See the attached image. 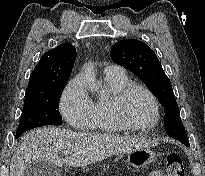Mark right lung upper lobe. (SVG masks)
I'll return each instance as SVG.
<instances>
[{
    "label": "right lung upper lobe",
    "mask_w": 205,
    "mask_h": 176,
    "mask_svg": "<svg viewBox=\"0 0 205 176\" xmlns=\"http://www.w3.org/2000/svg\"><path fill=\"white\" fill-rule=\"evenodd\" d=\"M76 59V49L63 43L46 52L31 73L26 96L44 93L66 84Z\"/></svg>",
    "instance_id": "1"
}]
</instances>
